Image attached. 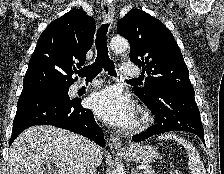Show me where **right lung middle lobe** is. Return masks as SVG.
I'll use <instances>...</instances> for the list:
<instances>
[{
	"label": "right lung middle lobe",
	"instance_id": "1",
	"mask_svg": "<svg viewBox=\"0 0 224 174\" xmlns=\"http://www.w3.org/2000/svg\"><path fill=\"white\" fill-rule=\"evenodd\" d=\"M69 87H70V85H47V86H44L42 88H46V89H59V88H64V89L69 90Z\"/></svg>",
	"mask_w": 224,
	"mask_h": 174
}]
</instances>
